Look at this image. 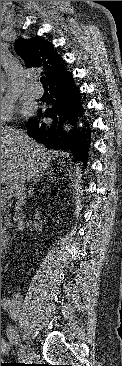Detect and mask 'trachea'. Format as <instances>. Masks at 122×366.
I'll list each match as a JSON object with an SVG mask.
<instances>
[{"instance_id":"obj_1","label":"trachea","mask_w":122,"mask_h":366,"mask_svg":"<svg viewBox=\"0 0 122 366\" xmlns=\"http://www.w3.org/2000/svg\"><path fill=\"white\" fill-rule=\"evenodd\" d=\"M40 82L44 85V87L46 86V77L45 76H42L40 78Z\"/></svg>"}]
</instances>
